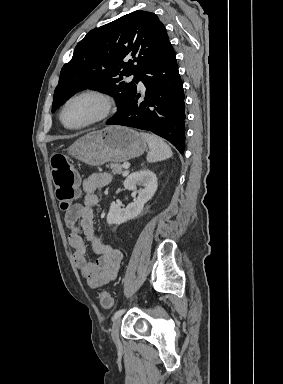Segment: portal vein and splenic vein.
Here are the masks:
<instances>
[{"label": "portal vein and splenic vein", "instance_id": "obj_1", "mask_svg": "<svg viewBox=\"0 0 283 384\" xmlns=\"http://www.w3.org/2000/svg\"><path fill=\"white\" fill-rule=\"evenodd\" d=\"M123 168H124V170H128V168H130V164H128V162H126V164H123Z\"/></svg>", "mask_w": 283, "mask_h": 384}]
</instances>
